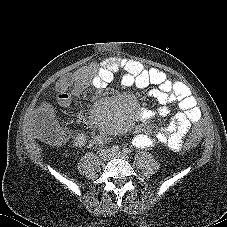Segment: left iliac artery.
Segmentation results:
<instances>
[{
  "label": "left iliac artery",
  "mask_w": 227,
  "mask_h": 227,
  "mask_svg": "<svg viewBox=\"0 0 227 227\" xmlns=\"http://www.w3.org/2000/svg\"><path fill=\"white\" fill-rule=\"evenodd\" d=\"M123 152H125V153H127V154H130V153H131V150L128 149V148H124V149H123Z\"/></svg>",
  "instance_id": "obj_1"
}]
</instances>
